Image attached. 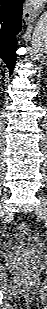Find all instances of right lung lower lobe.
I'll return each instance as SVG.
<instances>
[{
  "instance_id": "obj_1",
  "label": "right lung lower lobe",
  "mask_w": 47,
  "mask_h": 309,
  "mask_svg": "<svg viewBox=\"0 0 47 309\" xmlns=\"http://www.w3.org/2000/svg\"><path fill=\"white\" fill-rule=\"evenodd\" d=\"M23 0H0V58L12 75L16 62V35L21 30Z\"/></svg>"
}]
</instances>
